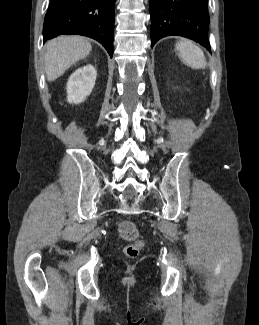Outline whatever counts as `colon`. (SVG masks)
Segmentation results:
<instances>
[{"instance_id":"5ec220e1","label":"colon","mask_w":259,"mask_h":325,"mask_svg":"<svg viewBox=\"0 0 259 325\" xmlns=\"http://www.w3.org/2000/svg\"><path fill=\"white\" fill-rule=\"evenodd\" d=\"M119 236L128 244L124 247L123 252L127 257H136L144 246L140 232L135 223L129 220H123L118 226Z\"/></svg>"}]
</instances>
